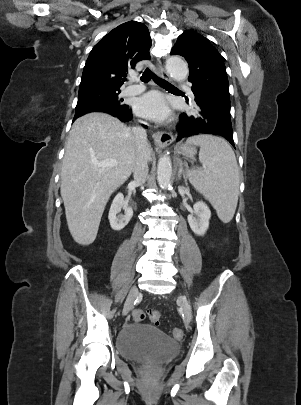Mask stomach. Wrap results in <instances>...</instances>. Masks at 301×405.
Wrapping results in <instances>:
<instances>
[{
	"instance_id": "obj_1",
	"label": "stomach",
	"mask_w": 301,
	"mask_h": 405,
	"mask_svg": "<svg viewBox=\"0 0 301 405\" xmlns=\"http://www.w3.org/2000/svg\"><path fill=\"white\" fill-rule=\"evenodd\" d=\"M178 153L182 154L185 157L188 158H194L195 154L197 153V150L195 146L193 145H188V144H182L177 148Z\"/></svg>"
}]
</instances>
